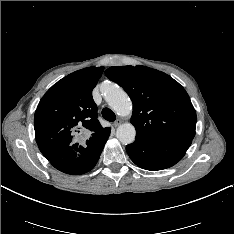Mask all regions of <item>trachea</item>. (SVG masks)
<instances>
[{"instance_id":"1","label":"trachea","mask_w":234,"mask_h":234,"mask_svg":"<svg viewBox=\"0 0 234 234\" xmlns=\"http://www.w3.org/2000/svg\"><path fill=\"white\" fill-rule=\"evenodd\" d=\"M102 116L105 120L109 121V122H113L116 119V115L115 113L109 109V108H103L102 110Z\"/></svg>"}]
</instances>
